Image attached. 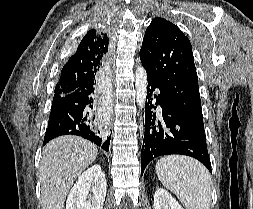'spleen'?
<instances>
[{
    "mask_svg": "<svg viewBox=\"0 0 253 209\" xmlns=\"http://www.w3.org/2000/svg\"><path fill=\"white\" fill-rule=\"evenodd\" d=\"M155 170L161 183L186 209H210L211 176L200 162L185 156H164Z\"/></svg>",
    "mask_w": 253,
    "mask_h": 209,
    "instance_id": "3e777b00",
    "label": "spleen"
}]
</instances>
